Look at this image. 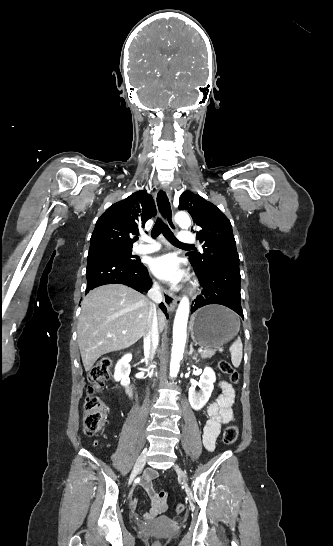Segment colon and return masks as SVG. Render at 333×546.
<instances>
[{"instance_id":"5ec220e1","label":"colon","mask_w":333,"mask_h":546,"mask_svg":"<svg viewBox=\"0 0 333 546\" xmlns=\"http://www.w3.org/2000/svg\"><path fill=\"white\" fill-rule=\"evenodd\" d=\"M112 360L108 357L97 361L88 373L90 383L89 394L84 402L83 411V430L88 435H93L103 429L106 424L107 414L104 404L96 395L110 376ZM220 371L226 375L232 383H237L239 379L238 371L227 360H220L218 363ZM239 435L236 425H229L223 433V442L226 445L233 444ZM185 506L179 503L175 507L177 514L183 513ZM152 546H161L160 543H154Z\"/></svg>"}]
</instances>
